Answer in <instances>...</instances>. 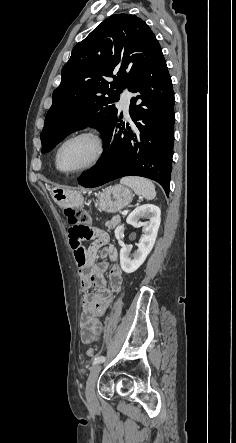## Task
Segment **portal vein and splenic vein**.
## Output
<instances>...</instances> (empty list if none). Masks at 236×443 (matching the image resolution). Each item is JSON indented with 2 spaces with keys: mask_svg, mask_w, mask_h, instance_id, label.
I'll use <instances>...</instances> for the list:
<instances>
[{
  "mask_svg": "<svg viewBox=\"0 0 236 443\" xmlns=\"http://www.w3.org/2000/svg\"><path fill=\"white\" fill-rule=\"evenodd\" d=\"M128 211H123L122 215H127Z\"/></svg>",
  "mask_w": 236,
  "mask_h": 443,
  "instance_id": "18ae733b",
  "label": "portal vein and splenic vein"
}]
</instances>
